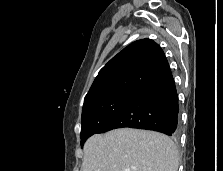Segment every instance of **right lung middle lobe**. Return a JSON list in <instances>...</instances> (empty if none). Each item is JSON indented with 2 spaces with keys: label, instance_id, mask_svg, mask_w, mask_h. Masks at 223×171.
I'll list each match as a JSON object with an SVG mask.
<instances>
[{
  "label": "right lung middle lobe",
  "instance_id": "right-lung-middle-lobe-1",
  "mask_svg": "<svg viewBox=\"0 0 223 171\" xmlns=\"http://www.w3.org/2000/svg\"><path fill=\"white\" fill-rule=\"evenodd\" d=\"M138 94L115 93L95 99L83 106L81 145L98 131Z\"/></svg>",
  "mask_w": 223,
  "mask_h": 171
}]
</instances>
